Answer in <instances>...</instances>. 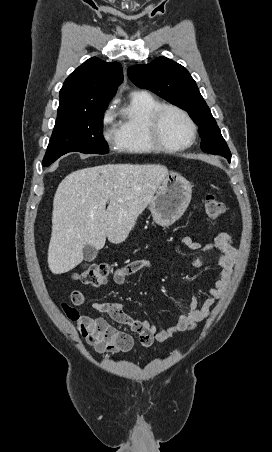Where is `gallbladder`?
Returning a JSON list of instances; mask_svg holds the SVG:
<instances>
[{"label":"gallbladder","mask_w":272,"mask_h":452,"mask_svg":"<svg viewBox=\"0 0 272 452\" xmlns=\"http://www.w3.org/2000/svg\"><path fill=\"white\" fill-rule=\"evenodd\" d=\"M98 250L92 245H85L83 248L84 259L87 261H92L97 256Z\"/></svg>","instance_id":"obj_1"}]
</instances>
